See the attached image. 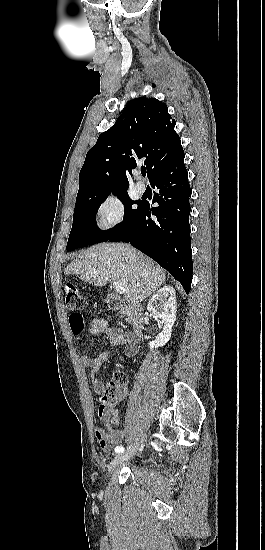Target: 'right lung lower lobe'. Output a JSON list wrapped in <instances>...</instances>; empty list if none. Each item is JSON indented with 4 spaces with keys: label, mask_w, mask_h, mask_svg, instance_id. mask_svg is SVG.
<instances>
[{
    "label": "right lung lower lobe",
    "mask_w": 265,
    "mask_h": 550,
    "mask_svg": "<svg viewBox=\"0 0 265 550\" xmlns=\"http://www.w3.org/2000/svg\"><path fill=\"white\" fill-rule=\"evenodd\" d=\"M158 189L153 202L141 203L135 217L107 241H125L139 249L178 280L188 294L191 288L193 263L190 243L191 188L184 165L183 148L151 179ZM155 215L157 220L150 217Z\"/></svg>",
    "instance_id": "obj_1"
}]
</instances>
